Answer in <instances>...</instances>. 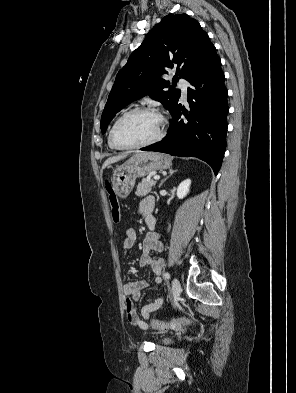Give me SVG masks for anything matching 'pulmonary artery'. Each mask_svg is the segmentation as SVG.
<instances>
[{"mask_svg":"<svg viewBox=\"0 0 296 393\" xmlns=\"http://www.w3.org/2000/svg\"><path fill=\"white\" fill-rule=\"evenodd\" d=\"M188 86H189V83L187 80H185L183 78L179 79L178 87L181 89L183 100L186 99Z\"/></svg>","mask_w":296,"mask_h":393,"instance_id":"pulmonary-artery-1","label":"pulmonary artery"}]
</instances>
